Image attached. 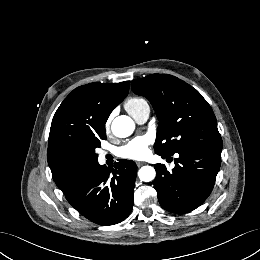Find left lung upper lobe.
<instances>
[{"label": "left lung upper lobe", "mask_w": 260, "mask_h": 260, "mask_svg": "<svg viewBox=\"0 0 260 260\" xmlns=\"http://www.w3.org/2000/svg\"><path fill=\"white\" fill-rule=\"evenodd\" d=\"M131 85L135 94L151 102L158 117L155 153L169 156L192 148L222 149L215 115L192 86L168 74H152Z\"/></svg>", "instance_id": "obj_1"}]
</instances>
